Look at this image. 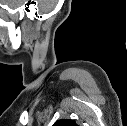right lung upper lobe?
Listing matches in <instances>:
<instances>
[{
    "mask_svg": "<svg viewBox=\"0 0 127 126\" xmlns=\"http://www.w3.org/2000/svg\"><path fill=\"white\" fill-rule=\"evenodd\" d=\"M53 126H78L74 120L71 119H62L56 121Z\"/></svg>",
    "mask_w": 127,
    "mask_h": 126,
    "instance_id": "obj_1",
    "label": "right lung upper lobe"
}]
</instances>
